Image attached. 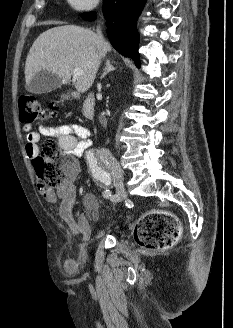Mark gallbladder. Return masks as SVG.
I'll list each match as a JSON object with an SVG mask.
<instances>
[{
    "label": "gallbladder",
    "instance_id": "gallbladder-1",
    "mask_svg": "<svg viewBox=\"0 0 233 328\" xmlns=\"http://www.w3.org/2000/svg\"><path fill=\"white\" fill-rule=\"evenodd\" d=\"M61 85L60 78L48 70H41L34 74L26 89L35 94L49 93Z\"/></svg>",
    "mask_w": 233,
    "mask_h": 328
}]
</instances>
